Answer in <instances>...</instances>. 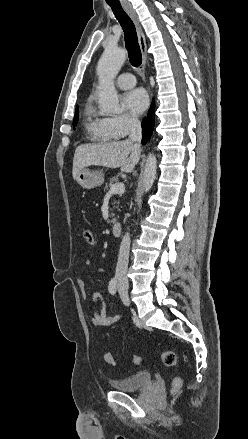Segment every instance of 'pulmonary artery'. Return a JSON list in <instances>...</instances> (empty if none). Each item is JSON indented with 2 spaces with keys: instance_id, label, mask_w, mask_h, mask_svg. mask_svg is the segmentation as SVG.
Here are the masks:
<instances>
[{
  "instance_id": "obj_1",
  "label": "pulmonary artery",
  "mask_w": 248,
  "mask_h": 439,
  "mask_svg": "<svg viewBox=\"0 0 248 439\" xmlns=\"http://www.w3.org/2000/svg\"><path fill=\"white\" fill-rule=\"evenodd\" d=\"M136 84V79L131 73H122L117 78V86L121 89L132 88Z\"/></svg>"
}]
</instances>
